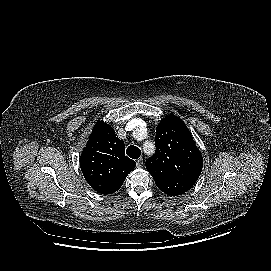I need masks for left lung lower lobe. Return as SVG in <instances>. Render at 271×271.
I'll use <instances>...</instances> for the list:
<instances>
[{
    "mask_svg": "<svg viewBox=\"0 0 271 271\" xmlns=\"http://www.w3.org/2000/svg\"><path fill=\"white\" fill-rule=\"evenodd\" d=\"M178 187H177V195L179 194H183L186 191H188L193 185L184 181L179 180L177 183Z\"/></svg>",
    "mask_w": 271,
    "mask_h": 271,
    "instance_id": "0a47b994",
    "label": "left lung lower lobe"
}]
</instances>
